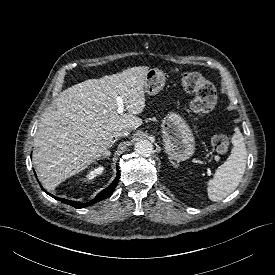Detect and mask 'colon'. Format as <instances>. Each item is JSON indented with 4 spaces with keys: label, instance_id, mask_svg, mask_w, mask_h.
I'll use <instances>...</instances> for the list:
<instances>
[{
    "label": "colon",
    "instance_id": "colon-1",
    "mask_svg": "<svg viewBox=\"0 0 275 275\" xmlns=\"http://www.w3.org/2000/svg\"><path fill=\"white\" fill-rule=\"evenodd\" d=\"M182 87L194 94L191 101V110L196 115L210 112L216 102L214 87L201 74L197 72H185L181 76ZM213 149L218 153H225L229 147V138L219 134L212 139Z\"/></svg>",
    "mask_w": 275,
    "mask_h": 275
}]
</instances>
